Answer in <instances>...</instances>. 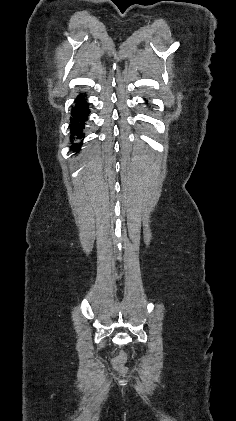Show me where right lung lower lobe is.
<instances>
[{"label":"right lung lower lobe","instance_id":"right-lung-lower-lobe-1","mask_svg":"<svg viewBox=\"0 0 236 421\" xmlns=\"http://www.w3.org/2000/svg\"><path fill=\"white\" fill-rule=\"evenodd\" d=\"M89 109L88 103H86L83 94H80L76 99V104L72 108L71 118H70V139L72 143V150L77 152L80 150L83 140H81L80 144L73 143L74 136L77 138L82 139L84 138V134L82 132V128L85 125V122L88 119Z\"/></svg>","mask_w":236,"mask_h":421}]
</instances>
